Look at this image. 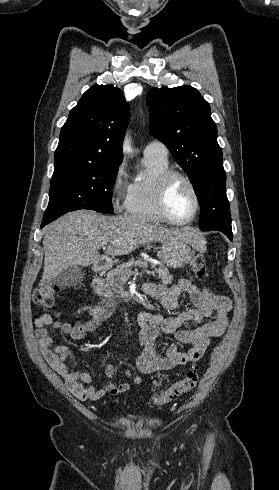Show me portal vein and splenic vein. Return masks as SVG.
<instances>
[{"label":"portal vein and splenic vein","instance_id":"obj_1","mask_svg":"<svg viewBox=\"0 0 279 490\" xmlns=\"http://www.w3.org/2000/svg\"><path fill=\"white\" fill-rule=\"evenodd\" d=\"M103 248H105V246H107V242H104V244H102ZM151 264H153V260H151ZM136 266H140V268H147L148 264L147 262H136Z\"/></svg>","mask_w":279,"mask_h":490}]
</instances>
